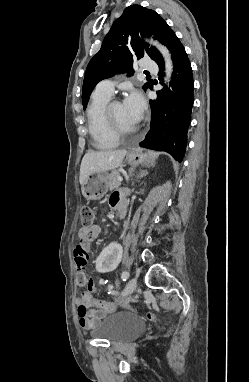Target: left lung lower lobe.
<instances>
[{
  "label": "left lung lower lobe",
  "instance_id": "0a47b994",
  "mask_svg": "<svg viewBox=\"0 0 249 382\" xmlns=\"http://www.w3.org/2000/svg\"><path fill=\"white\" fill-rule=\"evenodd\" d=\"M169 50L174 64L171 88L157 91V100H150L151 127L140 146L166 151L181 162L187 143V131L194 101V84L188 56L177 37ZM157 64L160 69L159 76H163V59H160Z\"/></svg>",
  "mask_w": 249,
  "mask_h": 382
}]
</instances>
